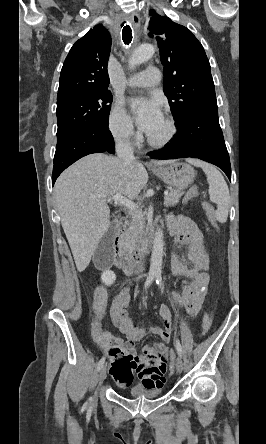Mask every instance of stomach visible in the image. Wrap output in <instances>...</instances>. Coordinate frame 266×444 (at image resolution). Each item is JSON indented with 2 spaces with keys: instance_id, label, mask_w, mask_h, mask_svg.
<instances>
[{
  "instance_id": "0dacf381",
  "label": "stomach",
  "mask_w": 266,
  "mask_h": 444,
  "mask_svg": "<svg viewBox=\"0 0 266 444\" xmlns=\"http://www.w3.org/2000/svg\"><path fill=\"white\" fill-rule=\"evenodd\" d=\"M153 173L161 178L166 184L177 189H184L192 184L195 172L187 163L173 161L166 166L154 168Z\"/></svg>"
}]
</instances>
